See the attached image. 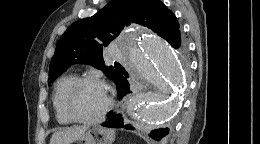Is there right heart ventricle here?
<instances>
[{"label":"right heart ventricle","mask_w":260,"mask_h":144,"mask_svg":"<svg viewBox=\"0 0 260 144\" xmlns=\"http://www.w3.org/2000/svg\"><path fill=\"white\" fill-rule=\"evenodd\" d=\"M78 79L75 74H67L58 79L52 97L56 121L61 125L71 124L72 121L64 111V98L71 85Z\"/></svg>","instance_id":"1"}]
</instances>
